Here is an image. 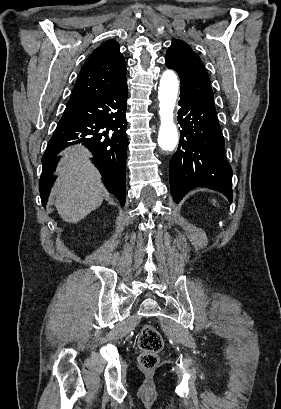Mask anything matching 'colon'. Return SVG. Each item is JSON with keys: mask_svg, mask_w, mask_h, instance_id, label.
Returning <instances> with one entry per match:
<instances>
[{"mask_svg": "<svg viewBox=\"0 0 281 409\" xmlns=\"http://www.w3.org/2000/svg\"><path fill=\"white\" fill-rule=\"evenodd\" d=\"M141 351L139 364L145 370L155 369L159 362L158 353L164 347L162 335L152 326H143L137 339Z\"/></svg>", "mask_w": 281, "mask_h": 409, "instance_id": "colon-1", "label": "colon"}]
</instances>
